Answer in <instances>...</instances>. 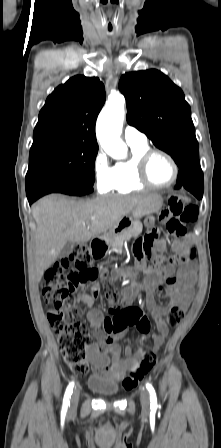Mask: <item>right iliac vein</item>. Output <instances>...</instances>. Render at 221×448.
<instances>
[{
    "label": "right iliac vein",
    "mask_w": 221,
    "mask_h": 448,
    "mask_svg": "<svg viewBox=\"0 0 221 448\" xmlns=\"http://www.w3.org/2000/svg\"><path fill=\"white\" fill-rule=\"evenodd\" d=\"M79 389H75L72 396H71V403H70V407H69V411L73 412L75 411L77 404H78V400H79Z\"/></svg>",
    "instance_id": "63e3f726"
}]
</instances>
